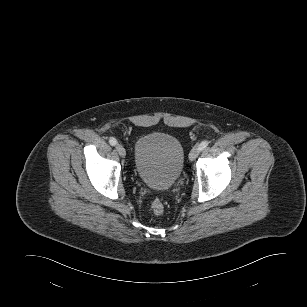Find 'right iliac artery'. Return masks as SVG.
<instances>
[{
    "mask_svg": "<svg viewBox=\"0 0 307 307\" xmlns=\"http://www.w3.org/2000/svg\"><path fill=\"white\" fill-rule=\"evenodd\" d=\"M109 143H110V145L115 146L117 144V140L115 138L111 137L109 139Z\"/></svg>",
    "mask_w": 307,
    "mask_h": 307,
    "instance_id": "right-iliac-artery-1",
    "label": "right iliac artery"
}]
</instances>
